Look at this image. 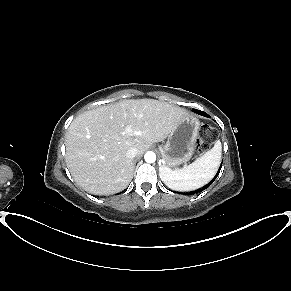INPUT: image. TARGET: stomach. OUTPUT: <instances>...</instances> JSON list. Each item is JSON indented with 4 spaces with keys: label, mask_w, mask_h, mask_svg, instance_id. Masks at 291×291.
I'll return each instance as SVG.
<instances>
[{
    "label": "stomach",
    "mask_w": 291,
    "mask_h": 291,
    "mask_svg": "<svg viewBox=\"0 0 291 291\" xmlns=\"http://www.w3.org/2000/svg\"><path fill=\"white\" fill-rule=\"evenodd\" d=\"M199 125V120L191 115L177 123L166 144L161 148L164 166L175 167L192 157Z\"/></svg>",
    "instance_id": "stomach-1"
}]
</instances>
